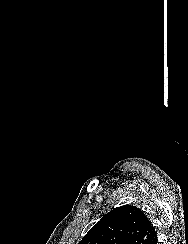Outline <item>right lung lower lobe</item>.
I'll use <instances>...</instances> for the list:
<instances>
[{
  "mask_svg": "<svg viewBox=\"0 0 188 244\" xmlns=\"http://www.w3.org/2000/svg\"><path fill=\"white\" fill-rule=\"evenodd\" d=\"M158 243V239L157 238H155L152 242H151V244H157Z\"/></svg>",
  "mask_w": 188,
  "mask_h": 244,
  "instance_id": "98d812e1",
  "label": "right lung lower lobe"
}]
</instances>
